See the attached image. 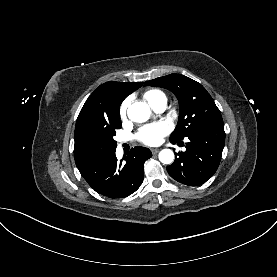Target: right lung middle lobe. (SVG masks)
<instances>
[{"label":"right lung middle lobe","instance_id":"obj_1","mask_svg":"<svg viewBox=\"0 0 277 277\" xmlns=\"http://www.w3.org/2000/svg\"><path fill=\"white\" fill-rule=\"evenodd\" d=\"M121 128L120 118L110 122L90 124L85 132V141L97 154H105L116 149L117 142L114 140L116 129Z\"/></svg>","mask_w":277,"mask_h":277}]
</instances>
